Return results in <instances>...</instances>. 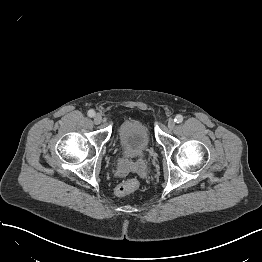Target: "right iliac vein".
I'll return each instance as SVG.
<instances>
[{
	"mask_svg": "<svg viewBox=\"0 0 262 262\" xmlns=\"http://www.w3.org/2000/svg\"><path fill=\"white\" fill-rule=\"evenodd\" d=\"M94 122H95V124H100L102 122V116L99 113H97L94 116Z\"/></svg>",
	"mask_w": 262,
	"mask_h": 262,
	"instance_id": "63e3f726",
	"label": "right iliac vein"
}]
</instances>
